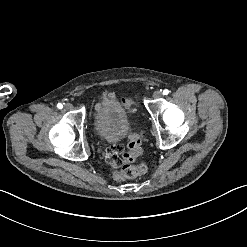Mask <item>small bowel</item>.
Returning a JSON list of instances; mask_svg holds the SVG:
<instances>
[{
  "label": "small bowel",
  "instance_id": "c3829d8e",
  "mask_svg": "<svg viewBox=\"0 0 247 247\" xmlns=\"http://www.w3.org/2000/svg\"><path fill=\"white\" fill-rule=\"evenodd\" d=\"M96 109L100 110V104L96 105ZM104 109L108 112L114 111V106L110 103L104 104ZM109 135L110 138L114 141L116 146L110 148L108 150V142L106 141V137L104 135L98 136V141L101 143V151L103 155V165L107 166L108 168H113L119 165L120 160L118 156L121 155L123 151V147L128 146L127 139H120L119 135L116 133V117L110 116L109 117ZM111 157V158H110Z\"/></svg>",
  "mask_w": 247,
  "mask_h": 247
}]
</instances>
